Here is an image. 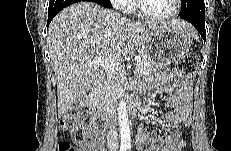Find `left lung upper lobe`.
I'll return each instance as SVG.
<instances>
[{
    "mask_svg": "<svg viewBox=\"0 0 231 151\" xmlns=\"http://www.w3.org/2000/svg\"><path fill=\"white\" fill-rule=\"evenodd\" d=\"M193 1H195V0H182V7H181V10L186 9V8L189 6V4H190L191 2H193Z\"/></svg>",
    "mask_w": 231,
    "mask_h": 151,
    "instance_id": "left-lung-upper-lobe-1",
    "label": "left lung upper lobe"
}]
</instances>
